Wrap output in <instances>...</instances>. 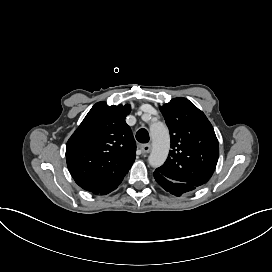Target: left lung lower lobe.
<instances>
[{
    "label": "left lung lower lobe",
    "instance_id": "obj_1",
    "mask_svg": "<svg viewBox=\"0 0 272 272\" xmlns=\"http://www.w3.org/2000/svg\"><path fill=\"white\" fill-rule=\"evenodd\" d=\"M154 178L163 189H165L167 192H170L175 196H181L182 194L193 191L194 189L197 188L187 183L177 182L168 179L167 177L163 176L156 170L154 172Z\"/></svg>",
    "mask_w": 272,
    "mask_h": 272
}]
</instances>
